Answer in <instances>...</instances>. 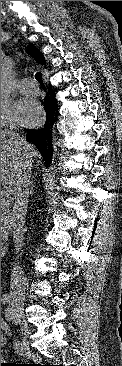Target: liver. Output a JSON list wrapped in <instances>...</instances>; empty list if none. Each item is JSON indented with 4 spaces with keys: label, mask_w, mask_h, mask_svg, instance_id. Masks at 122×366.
Here are the masks:
<instances>
[{
    "label": "liver",
    "mask_w": 122,
    "mask_h": 366,
    "mask_svg": "<svg viewBox=\"0 0 122 366\" xmlns=\"http://www.w3.org/2000/svg\"><path fill=\"white\" fill-rule=\"evenodd\" d=\"M11 131L1 130V184L13 189L16 182L22 176L23 166L31 156V169L34 161L40 156L38 150L23 138V144H15L14 138L10 137ZM28 146L26 151L24 148Z\"/></svg>",
    "instance_id": "obj_1"
}]
</instances>
